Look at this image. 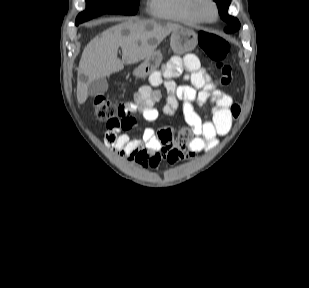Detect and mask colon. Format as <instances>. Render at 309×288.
I'll return each instance as SVG.
<instances>
[{"label":"colon","mask_w":309,"mask_h":288,"mask_svg":"<svg viewBox=\"0 0 309 288\" xmlns=\"http://www.w3.org/2000/svg\"><path fill=\"white\" fill-rule=\"evenodd\" d=\"M198 43L203 54L216 62L220 73L219 84L228 86L232 81L233 69L224 62L229 51L227 42L215 33L202 30L198 33ZM231 112L233 117L238 118L240 107L238 105L232 106ZM93 114L99 121H115L130 125L135 123L134 116L125 108L124 104L114 103L104 95L96 96L93 104Z\"/></svg>","instance_id":"1"}]
</instances>
